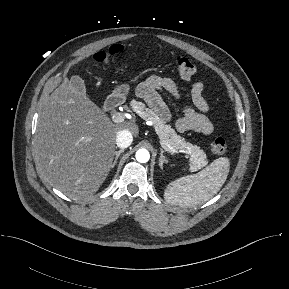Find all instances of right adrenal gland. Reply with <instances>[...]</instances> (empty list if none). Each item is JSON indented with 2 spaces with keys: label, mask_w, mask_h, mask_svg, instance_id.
Segmentation results:
<instances>
[{
  "label": "right adrenal gland",
  "mask_w": 289,
  "mask_h": 289,
  "mask_svg": "<svg viewBox=\"0 0 289 289\" xmlns=\"http://www.w3.org/2000/svg\"><path fill=\"white\" fill-rule=\"evenodd\" d=\"M123 152H124V149H121V150L115 152V155H116V156H115L114 162L112 163L111 168H114V167H115V165H116V163H117V160H118V157H119L120 154L123 153Z\"/></svg>",
  "instance_id": "2a0ac1e0"
}]
</instances>
